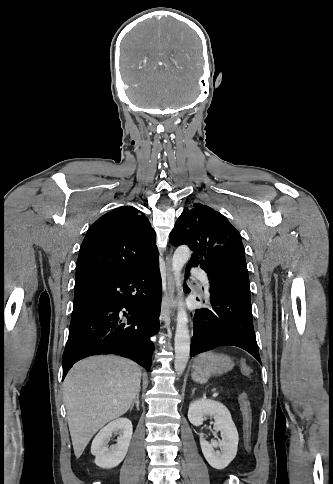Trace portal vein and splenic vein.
<instances>
[{"label": "portal vein and splenic vein", "mask_w": 333, "mask_h": 484, "mask_svg": "<svg viewBox=\"0 0 333 484\" xmlns=\"http://www.w3.org/2000/svg\"><path fill=\"white\" fill-rule=\"evenodd\" d=\"M213 391H214L213 396H214V397L218 396V393H217V392H215V389H213Z\"/></svg>", "instance_id": "18ae733b"}]
</instances>
